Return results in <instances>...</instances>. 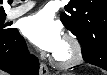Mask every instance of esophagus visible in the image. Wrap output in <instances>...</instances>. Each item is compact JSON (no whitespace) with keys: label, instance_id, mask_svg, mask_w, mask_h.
I'll return each mask as SVG.
<instances>
[{"label":"esophagus","instance_id":"obj_1","mask_svg":"<svg viewBox=\"0 0 107 75\" xmlns=\"http://www.w3.org/2000/svg\"><path fill=\"white\" fill-rule=\"evenodd\" d=\"M40 75H49V69L44 63H40Z\"/></svg>","mask_w":107,"mask_h":75}]
</instances>
